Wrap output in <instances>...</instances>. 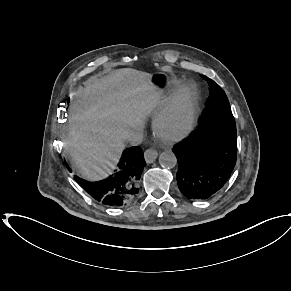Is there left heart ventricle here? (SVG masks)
Returning a JSON list of instances; mask_svg holds the SVG:
<instances>
[{
	"mask_svg": "<svg viewBox=\"0 0 291 291\" xmlns=\"http://www.w3.org/2000/svg\"><path fill=\"white\" fill-rule=\"evenodd\" d=\"M184 115L182 112H178L171 120H169L164 126L165 134H172L176 132L183 124Z\"/></svg>",
	"mask_w": 291,
	"mask_h": 291,
	"instance_id": "left-heart-ventricle-1",
	"label": "left heart ventricle"
}]
</instances>
